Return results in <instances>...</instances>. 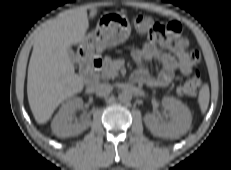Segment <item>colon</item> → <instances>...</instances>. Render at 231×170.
I'll use <instances>...</instances> for the list:
<instances>
[{
	"mask_svg": "<svg viewBox=\"0 0 231 170\" xmlns=\"http://www.w3.org/2000/svg\"><path fill=\"white\" fill-rule=\"evenodd\" d=\"M133 25L135 30L142 35H146L149 38L160 39L165 35V26L155 22L151 17L143 14H138L133 19ZM202 85L200 73L194 71L187 79L182 83L177 91L181 95L194 96L196 95Z\"/></svg>",
	"mask_w": 231,
	"mask_h": 170,
	"instance_id": "1",
	"label": "colon"
}]
</instances>
